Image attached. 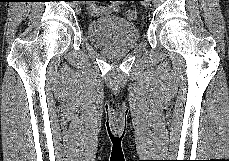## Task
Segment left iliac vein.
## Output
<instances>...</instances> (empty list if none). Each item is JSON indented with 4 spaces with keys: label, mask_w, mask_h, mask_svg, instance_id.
<instances>
[{
    "label": "left iliac vein",
    "mask_w": 229,
    "mask_h": 161,
    "mask_svg": "<svg viewBox=\"0 0 229 161\" xmlns=\"http://www.w3.org/2000/svg\"><path fill=\"white\" fill-rule=\"evenodd\" d=\"M149 1H150V0H144V1H143L144 6H148V5H149Z\"/></svg>",
    "instance_id": "obj_1"
}]
</instances>
